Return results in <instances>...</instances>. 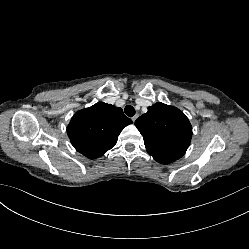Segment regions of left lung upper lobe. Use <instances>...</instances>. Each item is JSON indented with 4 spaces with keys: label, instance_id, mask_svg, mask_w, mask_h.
Segmentation results:
<instances>
[{
    "label": "left lung upper lobe",
    "instance_id": "obj_1",
    "mask_svg": "<svg viewBox=\"0 0 249 249\" xmlns=\"http://www.w3.org/2000/svg\"><path fill=\"white\" fill-rule=\"evenodd\" d=\"M135 125L144 138L147 152L161 164L178 160L190 145L192 126L176 107L156 103Z\"/></svg>",
    "mask_w": 249,
    "mask_h": 249
}]
</instances>
